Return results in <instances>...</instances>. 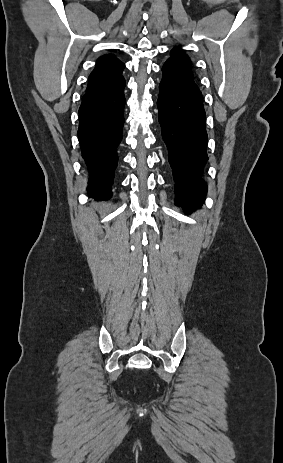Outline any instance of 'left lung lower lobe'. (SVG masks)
I'll list each match as a JSON object with an SVG mask.
<instances>
[{"label":"left lung lower lobe","instance_id":"left-lung-lower-lobe-1","mask_svg":"<svg viewBox=\"0 0 283 463\" xmlns=\"http://www.w3.org/2000/svg\"><path fill=\"white\" fill-rule=\"evenodd\" d=\"M157 101L162 137L173 169L176 204L190 210L202 205L207 186L201 178L208 160L206 115L194 77L167 60Z\"/></svg>","mask_w":283,"mask_h":463}]
</instances>
